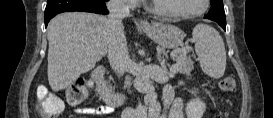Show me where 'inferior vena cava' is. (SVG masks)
Masks as SVG:
<instances>
[{
    "label": "inferior vena cava",
    "instance_id": "602c4592",
    "mask_svg": "<svg viewBox=\"0 0 273 118\" xmlns=\"http://www.w3.org/2000/svg\"><path fill=\"white\" fill-rule=\"evenodd\" d=\"M107 8L109 10L108 21L111 27L108 59L110 66L120 77L124 74L130 62L122 24V19L129 16L130 12L123 0H110L107 3Z\"/></svg>",
    "mask_w": 273,
    "mask_h": 118
}]
</instances>
